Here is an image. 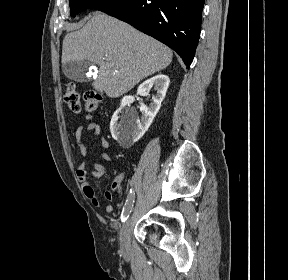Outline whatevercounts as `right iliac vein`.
<instances>
[{
  "instance_id": "63e3f726",
  "label": "right iliac vein",
  "mask_w": 288,
  "mask_h": 280,
  "mask_svg": "<svg viewBox=\"0 0 288 280\" xmlns=\"http://www.w3.org/2000/svg\"><path fill=\"white\" fill-rule=\"evenodd\" d=\"M131 223L132 216L126 220L120 232V249L123 253H127L129 251Z\"/></svg>"
}]
</instances>
